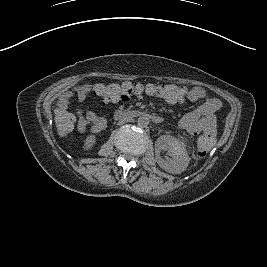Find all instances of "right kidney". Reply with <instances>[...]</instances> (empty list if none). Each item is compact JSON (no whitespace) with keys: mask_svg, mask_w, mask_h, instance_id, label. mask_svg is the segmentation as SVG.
Returning <instances> with one entry per match:
<instances>
[{"mask_svg":"<svg viewBox=\"0 0 267 267\" xmlns=\"http://www.w3.org/2000/svg\"><path fill=\"white\" fill-rule=\"evenodd\" d=\"M96 142V136L93 134L87 135V137L84 140L83 149L84 150H90L95 145Z\"/></svg>","mask_w":267,"mask_h":267,"instance_id":"1","label":"right kidney"}]
</instances>
